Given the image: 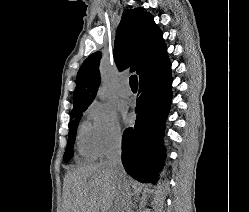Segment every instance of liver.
<instances>
[{
    "label": "liver",
    "mask_w": 249,
    "mask_h": 212,
    "mask_svg": "<svg viewBox=\"0 0 249 212\" xmlns=\"http://www.w3.org/2000/svg\"><path fill=\"white\" fill-rule=\"evenodd\" d=\"M115 170L107 162L83 164L64 180L66 212H113L117 194Z\"/></svg>",
    "instance_id": "1"
}]
</instances>
